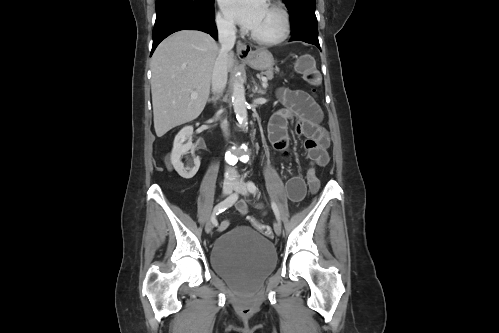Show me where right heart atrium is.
<instances>
[{
	"label": "right heart atrium",
	"mask_w": 499,
	"mask_h": 333,
	"mask_svg": "<svg viewBox=\"0 0 499 333\" xmlns=\"http://www.w3.org/2000/svg\"><path fill=\"white\" fill-rule=\"evenodd\" d=\"M215 23L217 28L225 34H232L235 31V27L233 23L226 18L224 15L221 13H218L215 17Z\"/></svg>",
	"instance_id": "obj_1"
}]
</instances>
